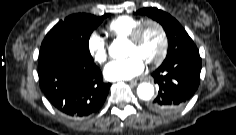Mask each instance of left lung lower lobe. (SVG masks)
Masks as SVG:
<instances>
[{
  "label": "left lung lower lobe",
  "instance_id": "1",
  "mask_svg": "<svg viewBox=\"0 0 236 135\" xmlns=\"http://www.w3.org/2000/svg\"><path fill=\"white\" fill-rule=\"evenodd\" d=\"M201 67L198 49L164 61L152 74L159 92L149 108L160 114H170L184 106L198 89Z\"/></svg>",
  "mask_w": 236,
  "mask_h": 135
}]
</instances>
